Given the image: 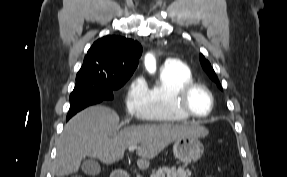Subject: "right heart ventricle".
<instances>
[{"instance_id": "right-heart-ventricle-1", "label": "right heart ventricle", "mask_w": 287, "mask_h": 177, "mask_svg": "<svg viewBox=\"0 0 287 177\" xmlns=\"http://www.w3.org/2000/svg\"><path fill=\"white\" fill-rule=\"evenodd\" d=\"M192 81L193 75L185 64L163 66L158 82L148 87L145 120L156 123H178L189 120V116L178 110L176 98L181 88Z\"/></svg>"}]
</instances>
